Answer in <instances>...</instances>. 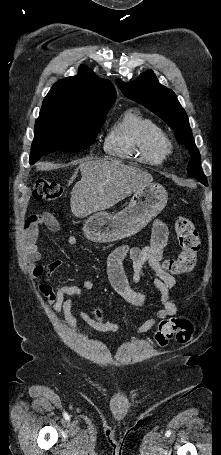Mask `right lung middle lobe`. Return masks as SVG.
I'll list each match as a JSON object with an SVG mask.
<instances>
[{
  "label": "right lung middle lobe",
  "mask_w": 221,
  "mask_h": 455,
  "mask_svg": "<svg viewBox=\"0 0 221 455\" xmlns=\"http://www.w3.org/2000/svg\"><path fill=\"white\" fill-rule=\"evenodd\" d=\"M109 109L86 117H67L40 112L35 124L30 163L53 151L87 149L104 124Z\"/></svg>",
  "instance_id": "right-lung-middle-lobe-1"
}]
</instances>
